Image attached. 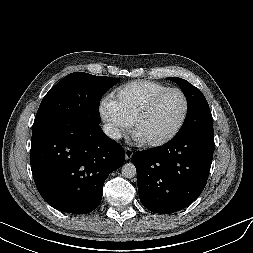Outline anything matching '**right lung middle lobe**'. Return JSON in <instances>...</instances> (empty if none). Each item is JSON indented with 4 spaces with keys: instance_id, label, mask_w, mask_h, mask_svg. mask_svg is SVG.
Here are the masks:
<instances>
[{
    "instance_id": "dd1d6c3e",
    "label": "right lung middle lobe",
    "mask_w": 253,
    "mask_h": 253,
    "mask_svg": "<svg viewBox=\"0 0 253 253\" xmlns=\"http://www.w3.org/2000/svg\"><path fill=\"white\" fill-rule=\"evenodd\" d=\"M117 78L74 72L64 77L44 96L32 127V134L66 125H99V103Z\"/></svg>"
}]
</instances>
